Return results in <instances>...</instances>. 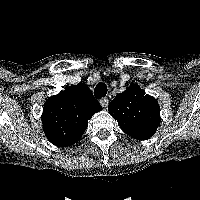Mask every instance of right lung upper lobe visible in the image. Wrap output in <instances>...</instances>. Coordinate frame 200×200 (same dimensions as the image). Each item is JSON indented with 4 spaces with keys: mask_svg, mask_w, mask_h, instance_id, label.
Segmentation results:
<instances>
[{
    "mask_svg": "<svg viewBox=\"0 0 200 200\" xmlns=\"http://www.w3.org/2000/svg\"><path fill=\"white\" fill-rule=\"evenodd\" d=\"M99 110L100 104L87 87L83 84L70 86L46 101L43 129L53 144L70 146L81 138L88 120Z\"/></svg>",
    "mask_w": 200,
    "mask_h": 200,
    "instance_id": "cb5924a9",
    "label": "right lung upper lobe"
}]
</instances>
